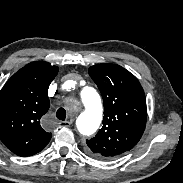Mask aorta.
I'll return each mask as SVG.
<instances>
[{"label": "aorta", "mask_w": 183, "mask_h": 183, "mask_svg": "<svg viewBox=\"0 0 183 183\" xmlns=\"http://www.w3.org/2000/svg\"><path fill=\"white\" fill-rule=\"evenodd\" d=\"M84 110L76 120L78 131L84 136L96 132L102 121L103 107L98 92L92 87H85L80 92Z\"/></svg>", "instance_id": "aorta-1"}]
</instances>
